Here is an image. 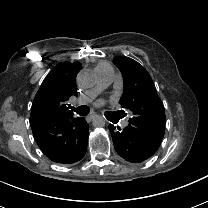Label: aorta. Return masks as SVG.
Returning a JSON list of instances; mask_svg holds the SVG:
<instances>
[{"label": "aorta", "instance_id": "1", "mask_svg": "<svg viewBox=\"0 0 208 208\" xmlns=\"http://www.w3.org/2000/svg\"><path fill=\"white\" fill-rule=\"evenodd\" d=\"M92 125L97 128L105 126V119L100 115H94L92 120Z\"/></svg>", "mask_w": 208, "mask_h": 208}]
</instances>
